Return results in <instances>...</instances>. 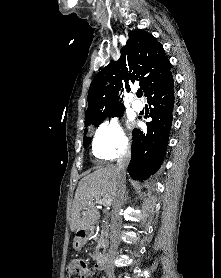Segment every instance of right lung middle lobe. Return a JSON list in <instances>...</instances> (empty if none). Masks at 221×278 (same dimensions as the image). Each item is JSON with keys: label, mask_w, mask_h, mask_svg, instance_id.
Segmentation results:
<instances>
[{"label": "right lung middle lobe", "mask_w": 221, "mask_h": 278, "mask_svg": "<svg viewBox=\"0 0 221 278\" xmlns=\"http://www.w3.org/2000/svg\"><path fill=\"white\" fill-rule=\"evenodd\" d=\"M123 112L124 110H121V111H118V112H115V113H111V114H107V115H104V116H101L99 117L98 119H96L93 123L91 124H85L86 127H88L89 125H94V126H97L99 125L100 123L103 122V120L106 118V117H120L123 115ZM86 133H87V129H85L84 131V140H83V145L84 147H87L90 143V138L89 137H86Z\"/></svg>", "instance_id": "right-lung-middle-lobe-1"}]
</instances>
